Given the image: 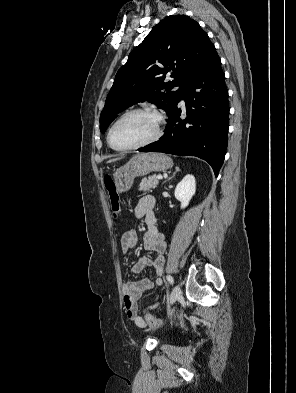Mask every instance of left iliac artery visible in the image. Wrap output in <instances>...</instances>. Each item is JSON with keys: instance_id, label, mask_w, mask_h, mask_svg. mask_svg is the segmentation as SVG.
Segmentation results:
<instances>
[{"instance_id": "44dca946", "label": "left iliac artery", "mask_w": 296, "mask_h": 393, "mask_svg": "<svg viewBox=\"0 0 296 393\" xmlns=\"http://www.w3.org/2000/svg\"><path fill=\"white\" fill-rule=\"evenodd\" d=\"M166 279L168 280V282H169L170 284L173 285L174 279H173V277H172L171 275H167V276H166Z\"/></svg>"}]
</instances>
